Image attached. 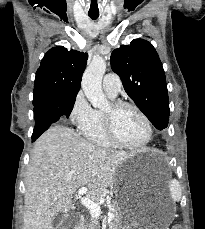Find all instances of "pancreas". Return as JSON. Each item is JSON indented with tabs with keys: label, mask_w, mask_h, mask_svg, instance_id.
I'll use <instances>...</instances> for the list:
<instances>
[{
	"label": "pancreas",
	"mask_w": 205,
	"mask_h": 229,
	"mask_svg": "<svg viewBox=\"0 0 205 229\" xmlns=\"http://www.w3.org/2000/svg\"><path fill=\"white\" fill-rule=\"evenodd\" d=\"M109 211L114 215V219L108 224L109 229H120L121 217L118 203L113 202ZM84 229H97V222L92 219L89 224L84 225Z\"/></svg>",
	"instance_id": "obj_1"
}]
</instances>
